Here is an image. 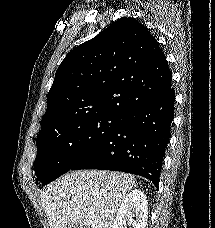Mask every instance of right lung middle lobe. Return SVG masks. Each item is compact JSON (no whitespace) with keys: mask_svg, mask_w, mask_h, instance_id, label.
Masks as SVG:
<instances>
[{"mask_svg":"<svg viewBox=\"0 0 215 228\" xmlns=\"http://www.w3.org/2000/svg\"><path fill=\"white\" fill-rule=\"evenodd\" d=\"M121 118L122 115L104 113L40 130L34 170L42 184L46 185L71 170Z\"/></svg>","mask_w":215,"mask_h":228,"instance_id":"right-lung-middle-lobe-1","label":"right lung middle lobe"}]
</instances>
